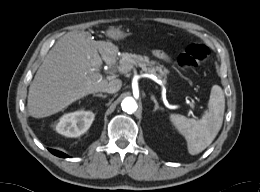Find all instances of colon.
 Instances as JSON below:
<instances>
[{
  "label": "colon",
  "instance_id": "colon-1",
  "mask_svg": "<svg viewBox=\"0 0 260 192\" xmlns=\"http://www.w3.org/2000/svg\"><path fill=\"white\" fill-rule=\"evenodd\" d=\"M209 57V49L206 45L195 43L189 45L178 57V65L182 69L196 68Z\"/></svg>",
  "mask_w": 260,
  "mask_h": 192
}]
</instances>
